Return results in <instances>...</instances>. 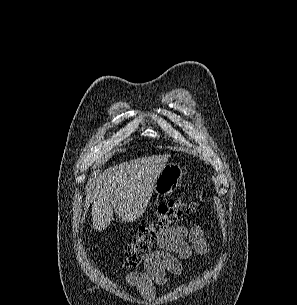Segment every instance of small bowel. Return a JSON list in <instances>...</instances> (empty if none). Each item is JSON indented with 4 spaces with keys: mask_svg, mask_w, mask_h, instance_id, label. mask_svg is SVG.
I'll use <instances>...</instances> for the list:
<instances>
[{
    "mask_svg": "<svg viewBox=\"0 0 297 305\" xmlns=\"http://www.w3.org/2000/svg\"><path fill=\"white\" fill-rule=\"evenodd\" d=\"M207 254L209 244L199 225H177L159 234L158 249L144 261V271H130L124 274L126 283L135 288L141 296L151 299L156 286L165 284L170 275L182 272V260L192 253Z\"/></svg>",
    "mask_w": 297,
    "mask_h": 305,
    "instance_id": "c3829d8e",
    "label": "small bowel"
}]
</instances>
